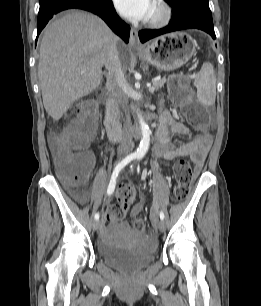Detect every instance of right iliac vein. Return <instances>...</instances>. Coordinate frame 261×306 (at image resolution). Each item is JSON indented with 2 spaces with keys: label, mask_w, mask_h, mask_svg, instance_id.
I'll use <instances>...</instances> for the list:
<instances>
[{
  "label": "right iliac vein",
  "mask_w": 261,
  "mask_h": 306,
  "mask_svg": "<svg viewBox=\"0 0 261 306\" xmlns=\"http://www.w3.org/2000/svg\"><path fill=\"white\" fill-rule=\"evenodd\" d=\"M99 227H100V221L95 220V221L93 222V230H94V231H97V230L99 229Z\"/></svg>",
  "instance_id": "63e3f726"
}]
</instances>
